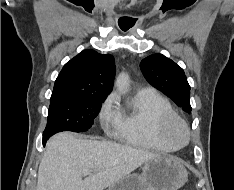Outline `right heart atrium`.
Masks as SVG:
<instances>
[{
  "label": "right heart atrium",
  "instance_id": "right-heart-atrium-1",
  "mask_svg": "<svg viewBox=\"0 0 234 190\" xmlns=\"http://www.w3.org/2000/svg\"><path fill=\"white\" fill-rule=\"evenodd\" d=\"M118 118V109L116 107V96L108 95L102 102L99 110V121L104 130L115 127Z\"/></svg>",
  "mask_w": 234,
  "mask_h": 190
}]
</instances>
